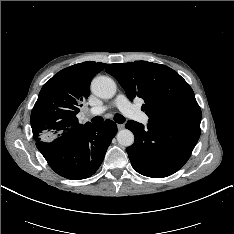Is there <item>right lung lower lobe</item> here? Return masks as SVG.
I'll list each match as a JSON object with an SVG mask.
<instances>
[{
  "instance_id": "right-lung-lower-lobe-1",
  "label": "right lung lower lobe",
  "mask_w": 234,
  "mask_h": 234,
  "mask_svg": "<svg viewBox=\"0 0 234 234\" xmlns=\"http://www.w3.org/2000/svg\"><path fill=\"white\" fill-rule=\"evenodd\" d=\"M116 133V124L106 120L48 141H37L36 146L57 174L68 179H85L97 171Z\"/></svg>"
}]
</instances>
